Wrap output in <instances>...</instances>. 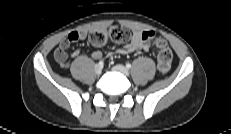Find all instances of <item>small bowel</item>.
Wrapping results in <instances>:
<instances>
[{"instance_id": "1", "label": "small bowel", "mask_w": 231, "mask_h": 134, "mask_svg": "<svg viewBox=\"0 0 231 134\" xmlns=\"http://www.w3.org/2000/svg\"><path fill=\"white\" fill-rule=\"evenodd\" d=\"M87 37V32L85 30H78L69 33L65 39L59 44L57 49L54 52V58L57 63L62 66L67 65V49L71 44L77 42L78 40H84ZM154 47V33L151 31H139L133 30L131 32L130 42L115 48L109 52V55L119 54L126 55L130 53H137L141 51H150ZM81 54L79 49H75L71 56L76 58ZM92 58L101 59L103 53L100 50H94L91 53Z\"/></svg>"}]
</instances>
